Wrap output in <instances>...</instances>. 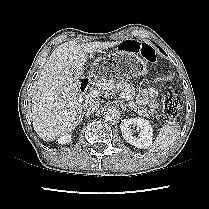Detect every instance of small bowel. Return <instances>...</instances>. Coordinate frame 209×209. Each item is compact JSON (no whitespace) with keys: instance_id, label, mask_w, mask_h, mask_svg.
Wrapping results in <instances>:
<instances>
[{"instance_id":"obj_1","label":"small bowel","mask_w":209,"mask_h":209,"mask_svg":"<svg viewBox=\"0 0 209 209\" xmlns=\"http://www.w3.org/2000/svg\"><path fill=\"white\" fill-rule=\"evenodd\" d=\"M133 86L136 89H142L138 96L139 103L151 109L158 105V90L153 87L143 89L146 86V79L143 76H136L133 79Z\"/></svg>"}]
</instances>
